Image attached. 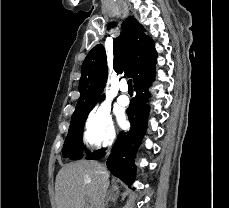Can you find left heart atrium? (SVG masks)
I'll return each instance as SVG.
<instances>
[{"label":"left heart atrium","mask_w":229,"mask_h":208,"mask_svg":"<svg viewBox=\"0 0 229 208\" xmlns=\"http://www.w3.org/2000/svg\"><path fill=\"white\" fill-rule=\"evenodd\" d=\"M121 124H122V125H124V124H125V121H124L123 119L121 120Z\"/></svg>","instance_id":"1"}]
</instances>
